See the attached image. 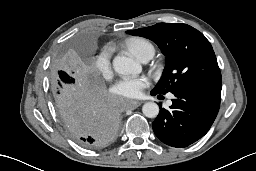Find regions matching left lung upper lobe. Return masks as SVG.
I'll use <instances>...</instances> for the list:
<instances>
[{"mask_svg": "<svg viewBox=\"0 0 256 171\" xmlns=\"http://www.w3.org/2000/svg\"><path fill=\"white\" fill-rule=\"evenodd\" d=\"M127 33L152 40L166 55V67L153 92L173 93L182 87L221 91L222 78L215 53L198 30L187 24L157 23Z\"/></svg>", "mask_w": 256, "mask_h": 171, "instance_id": "1", "label": "left lung upper lobe"}]
</instances>
